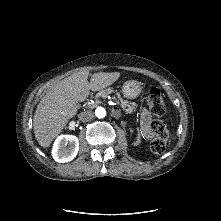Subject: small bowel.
<instances>
[{"label":"small bowel","instance_id":"1","mask_svg":"<svg viewBox=\"0 0 221 221\" xmlns=\"http://www.w3.org/2000/svg\"><path fill=\"white\" fill-rule=\"evenodd\" d=\"M150 123L151 115L146 109H143L140 114V125L145 139H151L153 137V132L150 129Z\"/></svg>","mask_w":221,"mask_h":221}]
</instances>
